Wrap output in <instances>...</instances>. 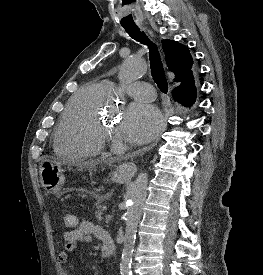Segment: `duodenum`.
Listing matches in <instances>:
<instances>
[{
	"mask_svg": "<svg viewBox=\"0 0 263 275\" xmlns=\"http://www.w3.org/2000/svg\"><path fill=\"white\" fill-rule=\"evenodd\" d=\"M102 255L104 258H112L115 255V244L112 237L106 232L103 236V250Z\"/></svg>",
	"mask_w": 263,
	"mask_h": 275,
	"instance_id": "410a0bca",
	"label": "duodenum"
}]
</instances>
